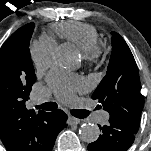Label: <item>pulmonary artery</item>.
<instances>
[{
	"label": "pulmonary artery",
	"mask_w": 151,
	"mask_h": 151,
	"mask_svg": "<svg viewBox=\"0 0 151 151\" xmlns=\"http://www.w3.org/2000/svg\"><path fill=\"white\" fill-rule=\"evenodd\" d=\"M49 100V94L46 91H40L36 96L37 103H44ZM108 120V114L106 112H100L96 116V121L99 123H105Z\"/></svg>",
	"instance_id": "e3ab8cb5"
}]
</instances>
